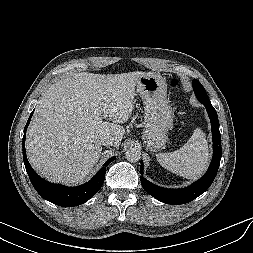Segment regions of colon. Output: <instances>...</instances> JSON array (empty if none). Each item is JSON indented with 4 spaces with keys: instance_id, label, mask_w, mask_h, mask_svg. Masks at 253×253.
Returning <instances> with one entry per match:
<instances>
[{
    "instance_id": "obj_1",
    "label": "colon",
    "mask_w": 253,
    "mask_h": 253,
    "mask_svg": "<svg viewBox=\"0 0 253 253\" xmlns=\"http://www.w3.org/2000/svg\"><path fill=\"white\" fill-rule=\"evenodd\" d=\"M177 84H178L177 80L173 79L172 82H171V85L176 86Z\"/></svg>"
}]
</instances>
